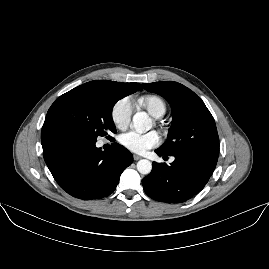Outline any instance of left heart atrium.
Masks as SVG:
<instances>
[{"instance_id": "1", "label": "left heart atrium", "mask_w": 269, "mask_h": 269, "mask_svg": "<svg viewBox=\"0 0 269 269\" xmlns=\"http://www.w3.org/2000/svg\"><path fill=\"white\" fill-rule=\"evenodd\" d=\"M119 142L126 150L142 154L147 150L157 146L161 142V137L158 132L151 131L140 133L136 131H127L119 136Z\"/></svg>"}]
</instances>
